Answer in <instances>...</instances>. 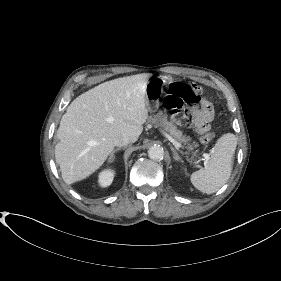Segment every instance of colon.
<instances>
[{
	"instance_id": "obj_1",
	"label": "colon",
	"mask_w": 281,
	"mask_h": 281,
	"mask_svg": "<svg viewBox=\"0 0 281 281\" xmlns=\"http://www.w3.org/2000/svg\"><path fill=\"white\" fill-rule=\"evenodd\" d=\"M201 90V87L196 83L174 82L169 86L167 95L162 101L163 106L175 114H180L187 105H195L199 102ZM179 120L184 126L192 123V117L189 114H180ZM213 139V133L207 132L202 135L201 142L208 145Z\"/></svg>"
}]
</instances>
